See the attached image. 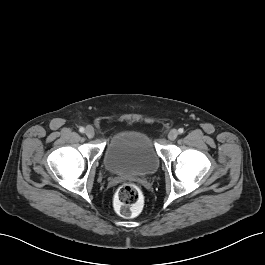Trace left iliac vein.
<instances>
[{
    "instance_id": "obj_1",
    "label": "left iliac vein",
    "mask_w": 265,
    "mask_h": 265,
    "mask_svg": "<svg viewBox=\"0 0 265 265\" xmlns=\"http://www.w3.org/2000/svg\"><path fill=\"white\" fill-rule=\"evenodd\" d=\"M178 136V131L175 129H172L169 133H168V139L173 141L177 138Z\"/></svg>"
}]
</instances>
